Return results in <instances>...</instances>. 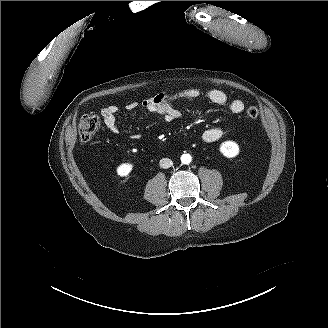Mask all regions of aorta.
I'll return each instance as SVG.
<instances>
[{
  "label": "aorta",
  "mask_w": 328,
  "mask_h": 328,
  "mask_svg": "<svg viewBox=\"0 0 328 328\" xmlns=\"http://www.w3.org/2000/svg\"><path fill=\"white\" fill-rule=\"evenodd\" d=\"M191 160H192V157H191V155H189V154H183V155L181 156V162H182L183 164H189V163L191 162Z\"/></svg>",
  "instance_id": "aorta-1"
}]
</instances>
